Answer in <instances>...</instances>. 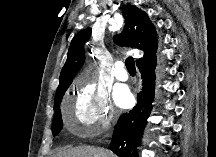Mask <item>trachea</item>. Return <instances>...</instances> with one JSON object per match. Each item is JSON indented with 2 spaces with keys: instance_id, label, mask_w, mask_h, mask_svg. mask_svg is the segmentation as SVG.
Returning <instances> with one entry per match:
<instances>
[{
  "instance_id": "obj_1",
  "label": "trachea",
  "mask_w": 216,
  "mask_h": 157,
  "mask_svg": "<svg viewBox=\"0 0 216 157\" xmlns=\"http://www.w3.org/2000/svg\"><path fill=\"white\" fill-rule=\"evenodd\" d=\"M125 65L127 67V70L129 71V73H133V74L136 73L135 62H134L133 57H131V56L128 57L125 61Z\"/></svg>"
}]
</instances>
